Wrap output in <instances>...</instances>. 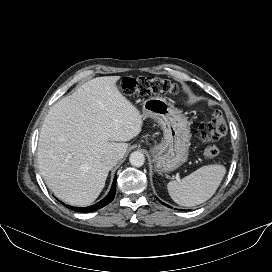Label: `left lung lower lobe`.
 I'll return each mask as SVG.
<instances>
[{"instance_id":"left-lung-lower-lobe-1","label":"left lung lower lobe","mask_w":272,"mask_h":272,"mask_svg":"<svg viewBox=\"0 0 272 272\" xmlns=\"http://www.w3.org/2000/svg\"><path fill=\"white\" fill-rule=\"evenodd\" d=\"M163 205H166L165 203L161 202Z\"/></svg>"}]
</instances>
